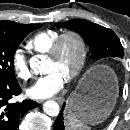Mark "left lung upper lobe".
<instances>
[{"instance_id": "left-lung-upper-lobe-1", "label": "left lung upper lobe", "mask_w": 130, "mask_h": 130, "mask_svg": "<svg viewBox=\"0 0 130 130\" xmlns=\"http://www.w3.org/2000/svg\"><path fill=\"white\" fill-rule=\"evenodd\" d=\"M56 26L81 34L90 47L92 58L95 60L108 57H123L124 55L121 42L111 29L84 19L56 23Z\"/></svg>"}]
</instances>
